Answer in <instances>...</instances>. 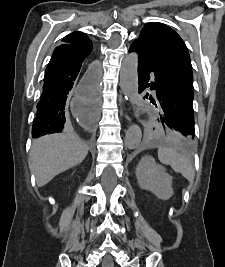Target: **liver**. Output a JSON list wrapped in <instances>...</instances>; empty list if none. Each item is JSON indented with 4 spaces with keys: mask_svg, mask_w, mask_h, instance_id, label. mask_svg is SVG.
<instances>
[{
    "mask_svg": "<svg viewBox=\"0 0 225 267\" xmlns=\"http://www.w3.org/2000/svg\"><path fill=\"white\" fill-rule=\"evenodd\" d=\"M88 150V146L74 133L47 135L33 142L29 169L41 187L58 174L80 164Z\"/></svg>",
    "mask_w": 225,
    "mask_h": 267,
    "instance_id": "6515ba94",
    "label": "liver"
}]
</instances>
